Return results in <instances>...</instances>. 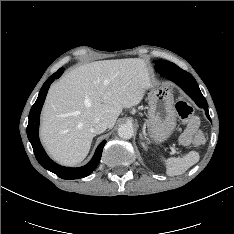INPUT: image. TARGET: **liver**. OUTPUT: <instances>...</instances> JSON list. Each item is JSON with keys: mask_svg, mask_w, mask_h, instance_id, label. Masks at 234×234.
<instances>
[{"mask_svg": "<svg viewBox=\"0 0 234 234\" xmlns=\"http://www.w3.org/2000/svg\"><path fill=\"white\" fill-rule=\"evenodd\" d=\"M140 59L96 61L79 66L54 83L42 111L41 140L58 163L75 166L87 156L95 118L113 128L123 108L138 105L149 88Z\"/></svg>", "mask_w": 234, "mask_h": 234, "instance_id": "obj_1", "label": "liver"}]
</instances>
